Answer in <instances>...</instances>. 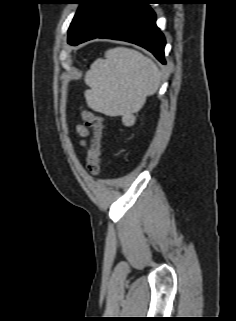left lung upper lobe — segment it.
Segmentation results:
<instances>
[{
  "label": "left lung upper lobe",
  "mask_w": 236,
  "mask_h": 321,
  "mask_svg": "<svg viewBox=\"0 0 236 321\" xmlns=\"http://www.w3.org/2000/svg\"><path fill=\"white\" fill-rule=\"evenodd\" d=\"M94 0H76L77 4H80L68 30V41L74 37L75 33L77 32L80 24L82 23L85 15L87 14L88 10L90 9Z\"/></svg>",
  "instance_id": "5c2ea615"
}]
</instances>
